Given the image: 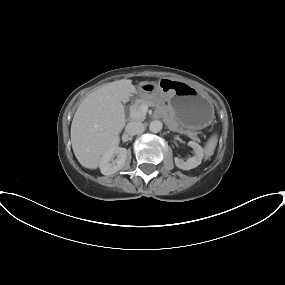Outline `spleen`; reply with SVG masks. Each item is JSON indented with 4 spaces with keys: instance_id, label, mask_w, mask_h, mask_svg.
Segmentation results:
<instances>
[{
    "instance_id": "obj_1",
    "label": "spleen",
    "mask_w": 285,
    "mask_h": 285,
    "mask_svg": "<svg viewBox=\"0 0 285 285\" xmlns=\"http://www.w3.org/2000/svg\"><path fill=\"white\" fill-rule=\"evenodd\" d=\"M217 142H218V138L216 135H213L208 140V142L206 143L205 148H204V154H205L206 158H210L213 155L214 150H215L216 145H217Z\"/></svg>"
}]
</instances>
